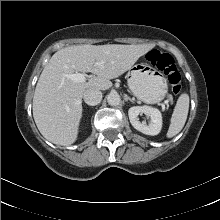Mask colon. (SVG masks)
Returning <instances> with one entry per match:
<instances>
[{
    "label": "colon",
    "mask_w": 220,
    "mask_h": 220,
    "mask_svg": "<svg viewBox=\"0 0 220 220\" xmlns=\"http://www.w3.org/2000/svg\"><path fill=\"white\" fill-rule=\"evenodd\" d=\"M146 59L151 65L161 70L167 76L172 93L178 95L182 87L181 76L173 57L166 52L154 49L148 52Z\"/></svg>",
    "instance_id": "1"
}]
</instances>
